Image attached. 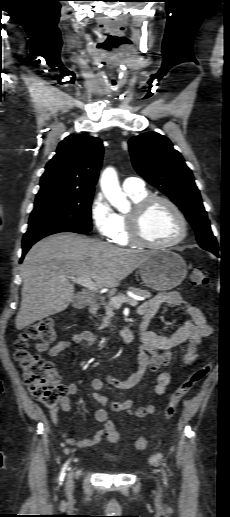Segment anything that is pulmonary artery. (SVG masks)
I'll use <instances>...</instances> for the list:
<instances>
[{"instance_id": "1", "label": "pulmonary artery", "mask_w": 230, "mask_h": 517, "mask_svg": "<svg viewBox=\"0 0 230 517\" xmlns=\"http://www.w3.org/2000/svg\"><path fill=\"white\" fill-rule=\"evenodd\" d=\"M123 190L127 193L141 192L145 190L144 181L137 177H128L122 183Z\"/></svg>"}]
</instances>
